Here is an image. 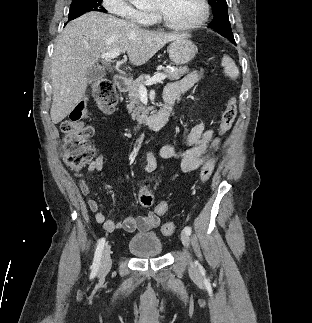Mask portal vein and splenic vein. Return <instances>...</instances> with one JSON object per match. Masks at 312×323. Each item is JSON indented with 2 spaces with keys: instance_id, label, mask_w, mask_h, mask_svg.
Instances as JSON below:
<instances>
[{
  "instance_id": "18ae733b",
  "label": "portal vein and splenic vein",
  "mask_w": 312,
  "mask_h": 323,
  "mask_svg": "<svg viewBox=\"0 0 312 323\" xmlns=\"http://www.w3.org/2000/svg\"><path fill=\"white\" fill-rule=\"evenodd\" d=\"M117 56H120L119 50H113V52H107V54H102L101 58H104V60H112V58H117ZM165 78H166L165 74H158V76H155V78H151V80H147V82H145V86H152V84H157V82H162V80H165ZM145 86H140L139 94H147V90Z\"/></svg>"
}]
</instances>
